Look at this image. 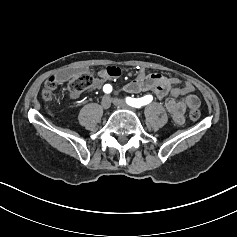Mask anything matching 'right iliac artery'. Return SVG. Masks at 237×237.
Listing matches in <instances>:
<instances>
[{
  "label": "right iliac artery",
  "mask_w": 237,
  "mask_h": 237,
  "mask_svg": "<svg viewBox=\"0 0 237 237\" xmlns=\"http://www.w3.org/2000/svg\"><path fill=\"white\" fill-rule=\"evenodd\" d=\"M103 91H104L105 93H110V92L112 91V86H111L110 84L104 85Z\"/></svg>",
  "instance_id": "right-iliac-artery-1"
}]
</instances>
